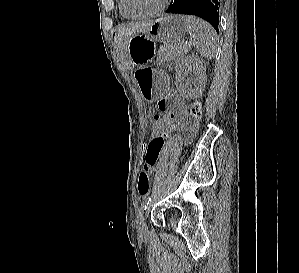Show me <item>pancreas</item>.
Wrapping results in <instances>:
<instances>
[{
	"instance_id": "1",
	"label": "pancreas",
	"mask_w": 299,
	"mask_h": 273,
	"mask_svg": "<svg viewBox=\"0 0 299 273\" xmlns=\"http://www.w3.org/2000/svg\"><path fill=\"white\" fill-rule=\"evenodd\" d=\"M189 47L183 43H168L160 46L157 52V61L163 63L187 52Z\"/></svg>"
}]
</instances>
